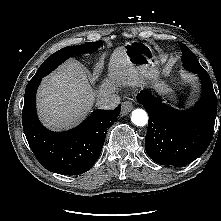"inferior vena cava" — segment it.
<instances>
[{
	"instance_id": "inferior-vena-cava-1",
	"label": "inferior vena cava",
	"mask_w": 221,
	"mask_h": 221,
	"mask_svg": "<svg viewBox=\"0 0 221 221\" xmlns=\"http://www.w3.org/2000/svg\"><path fill=\"white\" fill-rule=\"evenodd\" d=\"M120 100L121 99L118 95H107L98 100L97 104L100 108L103 109H114L120 104Z\"/></svg>"
}]
</instances>
